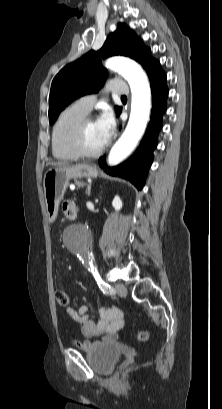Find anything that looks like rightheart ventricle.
<instances>
[{
  "instance_id": "right-heart-ventricle-1",
  "label": "right heart ventricle",
  "mask_w": 222,
  "mask_h": 409,
  "mask_svg": "<svg viewBox=\"0 0 222 409\" xmlns=\"http://www.w3.org/2000/svg\"><path fill=\"white\" fill-rule=\"evenodd\" d=\"M88 113L73 104L65 108L58 116L52 129V153L62 161L78 158L70 145L71 134L77 123Z\"/></svg>"
}]
</instances>
